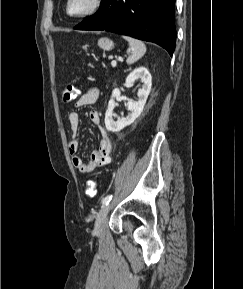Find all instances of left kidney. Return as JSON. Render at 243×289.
Returning a JSON list of instances; mask_svg holds the SVG:
<instances>
[{"mask_svg":"<svg viewBox=\"0 0 243 289\" xmlns=\"http://www.w3.org/2000/svg\"><path fill=\"white\" fill-rule=\"evenodd\" d=\"M140 79L143 83L142 88L138 90V101H128L127 109L130 113L118 121L113 119V110L115 107V98L120 96V90L115 88L112 91L111 99L108 102V108L105 113V126L108 131L118 132L126 126L132 124L143 111L147 97L152 86V77L145 67H139L131 72L126 78V85L131 86L136 80Z\"/></svg>","mask_w":243,"mask_h":289,"instance_id":"left-kidney-1","label":"left kidney"}]
</instances>
